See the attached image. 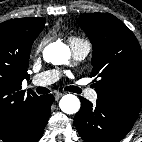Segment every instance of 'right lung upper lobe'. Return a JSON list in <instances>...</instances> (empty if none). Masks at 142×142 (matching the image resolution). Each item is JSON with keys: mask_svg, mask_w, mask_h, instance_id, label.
I'll list each match as a JSON object with an SVG mask.
<instances>
[{"mask_svg": "<svg viewBox=\"0 0 142 142\" xmlns=\"http://www.w3.org/2000/svg\"><path fill=\"white\" fill-rule=\"evenodd\" d=\"M44 18H19L0 24V138L18 136L38 107L41 96L21 90L31 46L43 30Z\"/></svg>", "mask_w": 142, "mask_h": 142, "instance_id": "cb5924a9", "label": "right lung upper lobe"}]
</instances>
